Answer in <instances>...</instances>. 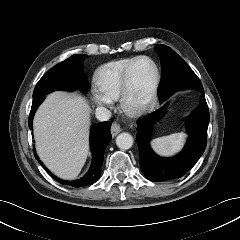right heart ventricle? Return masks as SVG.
Returning <instances> with one entry per match:
<instances>
[{
    "label": "right heart ventricle",
    "mask_w": 240,
    "mask_h": 240,
    "mask_svg": "<svg viewBox=\"0 0 240 240\" xmlns=\"http://www.w3.org/2000/svg\"><path fill=\"white\" fill-rule=\"evenodd\" d=\"M137 57L121 58L102 65L96 73V84L108 98L118 99L121 93L122 80L128 66Z\"/></svg>",
    "instance_id": "obj_1"
}]
</instances>
